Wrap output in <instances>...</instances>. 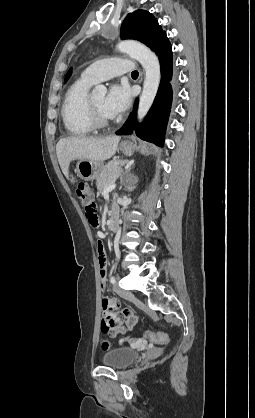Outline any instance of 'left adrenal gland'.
I'll use <instances>...</instances> for the list:
<instances>
[{
  "label": "left adrenal gland",
  "mask_w": 255,
  "mask_h": 418,
  "mask_svg": "<svg viewBox=\"0 0 255 418\" xmlns=\"http://www.w3.org/2000/svg\"><path fill=\"white\" fill-rule=\"evenodd\" d=\"M131 170V166L126 170V172L125 173H128L129 171ZM130 182H133V184H135L136 183V181H131V179H130Z\"/></svg>",
  "instance_id": "a2214340"
}]
</instances>
